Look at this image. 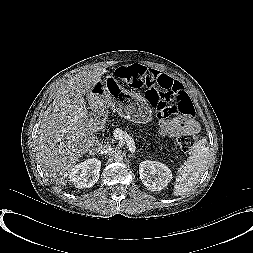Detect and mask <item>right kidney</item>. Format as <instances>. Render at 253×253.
<instances>
[{
  "instance_id": "1",
  "label": "right kidney",
  "mask_w": 253,
  "mask_h": 253,
  "mask_svg": "<svg viewBox=\"0 0 253 253\" xmlns=\"http://www.w3.org/2000/svg\"><path fill=\"white\" fill-rule=\"evenodd\" d=\"M100 168V160L96 158L87 159L71 169L69 179L76 188L92 187L99 179Z\"/></svg>"
}]
</instances>
